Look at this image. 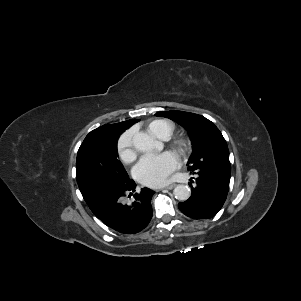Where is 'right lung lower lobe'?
I'll list each match as a JSON object with an SVG mask.
<instances>
[{
	"instance_id": "right-lung-lower-lobe-1",
	"label": "right lung lower lobe",
	"mask_w": 301,
	"mask_h": 301,
	"mask_svg": "<svg viewBox=\"0 0 301 301\" xmlns=\"http://www.w3.org/2000/svg\"><path fill=\"white\" fill-rule=\"evenodd\" d=\"M135 182H125L102 186L93 204L89 207L94 215L109 228L123 233L135 234L144 229L152 218L151 197L154 191L143 188L134 194V200L128 202L124 196L134 192Z\"/></svg>"
}]
</instances>
